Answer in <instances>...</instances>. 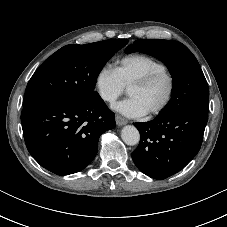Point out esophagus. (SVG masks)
<instances>
[{
	"label": "esophagus",
	"mask_w": 227,
	"mask_h": 227,
	"mask_svg": "<svg viewBox=\"0 0 227 227\" xmlns=\"http://www.w3.org/2000/svg\"><path fill=\"white\" fill-rule=\"evenodd\" d=\"M115 121H116V124H117L118 126H123V125L127 124V120L124 119V118H122V117L119 116V115H116Z\"/></svg>",
	"instance_id": "esophagus-1"
}]
</instances>
